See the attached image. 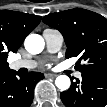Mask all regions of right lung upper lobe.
Returning <instances> with one entry per match:
<instances>
[{"label": "right lung upper lobe", "instance_id": "cb5924a9", "mask_svg": "<svg viewBox=\"0 0 107 107\" xmlns=\"http://www.w3.org/2000/svg\"><path fill=\"white\" fill-rule=\"evenodd\" d=\"M41 16L0 11V71L7 70L9 52L16 53L26 36L40 23Z\"/></svg>", "mask_w": 107, "mask_h": 107}]
</instances>
